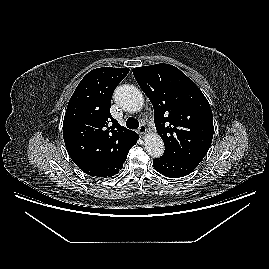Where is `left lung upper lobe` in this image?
<instances>
[{
    "label": "left lung upper lobe",
    "mask_w": 269,
    "mask_h": 269,
    "mask_svg": "<svg viewBox=\"0 0 269 269\" xmlns=\"http://www.w3.org/2000/svg\"><path fill=\"white\" fill-rule=\"evenodd\" d=\"M133 74L153 105L163 156L200 163L214 133L212 110L201 90L170 64L134 68Z\"/></svg>",
    "instance_id": "5c2ea615"
}]
</instances>
